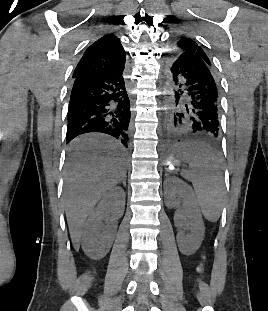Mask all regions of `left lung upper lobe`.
Listing matches in <instances>:
<instances>
[{"mask_svg":"<svg viewBox=\"0 0 268 311\" xmlns=\"http://www.w3.org/2000/svg\"><path fill=\"white\" fill-rule=\"evenodd\" d=\"M172 55L175 60L199 59L212 65L204 49L193 39L184 35H178L176 37L175 52Z\"/></svg>","mask_w":268,"mask_h":311,"instance_id":"5c2ea615","label":"left lung upper lobe"}]
</instances>
